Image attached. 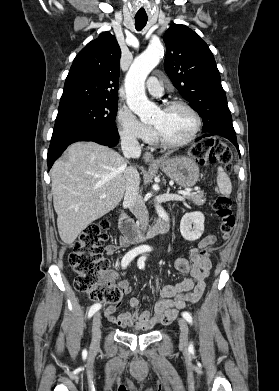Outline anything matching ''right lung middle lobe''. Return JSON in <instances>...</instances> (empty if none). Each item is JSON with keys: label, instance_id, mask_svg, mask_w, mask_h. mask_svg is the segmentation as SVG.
Masks as SVG:
<instances>
[{"label": "right lung middle lobe", "instance_id": "right-lung-middle-lobe-1", "mask_svg": "<svg viewBox=\"0 0 279 391\" xmlns=\"http://www.w3.org/2000/svg\"><path fill=\"white\" fill-rule=\"evenodd\" d=\"M118 101L98 100L58 109L52 137L99 126H115Z\"/></svg>", "mask_w": 279, "mask_h": 391}]
</instances>
